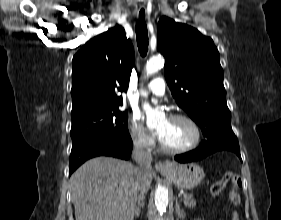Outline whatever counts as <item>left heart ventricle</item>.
<instances>
[{
	"label": "left heart ventricle",
	"mask_w": 281,
	"mask_h": 220,
	"mask_svg": "<svg viewBox=\"0 0 281 220\" xmlns=\"http://www.w3.org/2000/svg\"><path fill=\"white\" fill-rule=\"evenodd\" d=\"M160 139L169 148H182L192 143L194 131L182 120H163L158 128Z\"/></svg>",
	"instance_id": "1"
}]
</instances>
